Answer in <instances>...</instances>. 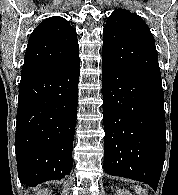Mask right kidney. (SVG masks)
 <instances>
[{"label":"right kidney","instance_id":"right-kidney-1","mask_svg":"<svg viewBox=\"0 0 178 195\" xmlns=\"http://www.w3.org/2000/svg\"><path fill=\"white\" fill-rule=\"evenodd\" d=\"M38 195H50L47 189H42L38 192Z\"/></svg>","mask_w":178,"mask_h":195}]
</instances>
